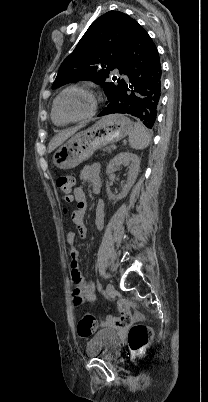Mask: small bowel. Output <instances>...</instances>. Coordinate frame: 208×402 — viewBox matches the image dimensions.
<instances>
[{
  "instance_id": "c3829d8e",
  "label": "small bowel",
  "mask_w": 208,
  "mask_h": 402,
  "mask_svg": "<svg viewBox=\"0 0 208 402\" xmlns=\"http://www.w3.org/2000/svg\"><path fill=\"white\" fill-rule=\"evenodd\" d=\"M79 181L81 183H90L94 192L101 190L100 181V167L98 164H89L84 166L79 172ZM73 198L77 203V208L74 213L75 229L70 231L67 235V241L69 244H73L78 234L81 238H84L87 234L85 225L83 224V216L86 212V195L82 187L75 188L73 192ZM105 218V207L103 202H99L96 206L95 225L98 229L103 228ZM70 257L72 260V273L71 276L75 282L74 292L77 295L84 296L88 300H95V284L93 282L86 281L78 264V251L75 247L70 248Z\"/></svg>"
}]
</instances>
